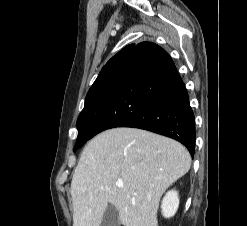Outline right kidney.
Segmentation results:
<instances>
[{"mask_svg":"<svg viewBox=\"0 0 247 226\" xmlns=\"http://www.w3.org/2000/svg\"><path fill=\"white\" fill-rule=\"evenodd\" d=\"M179 206L178 193L175 190L168 191L161 204L162 214L169 218L175 215Z\"/></svg>","mask_w":247,"mask_h":226,"instance_id":"obj_1","label":"right kidney"}]
</instances>
